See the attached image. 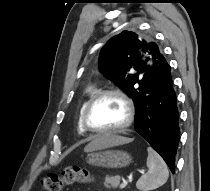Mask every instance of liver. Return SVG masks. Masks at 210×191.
Returning a JSON list of instances; mask_svg holds the SVG:
<instances>
[{"mask_svg":"<svg viewBox=\"0 0 210 191\" xmlns=\"http://www.w3.org/2000/svg\"><path fill=\"white\" fill-rule=\"evenodd\" d=\"M132 139L115 134H104L97 136L84 149L85 152H92L100 149H105L112 146L123 145L131 142Z\"/></svg>","mask_w":210,"mask_h":191,"instance_id":"6515ba94","label":"liver"}]
</instances>
